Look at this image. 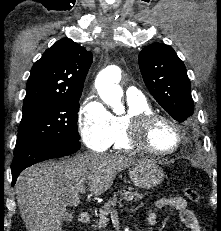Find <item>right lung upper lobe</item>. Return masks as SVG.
<instances>
[{
    "label": "right lung upper lobe",
    "mask_w": 221,
    "mask_h": 231,
    "mask_svg": "<svg viewBox=\"0 0 221 231\" xmlns=\"http://www.w3.org/2000/svg\"><path fill=\"white\" fill-rule=\"evenodd\" d=\"M92 60V53L78 43L57 41L33 65L24 101L80 97Z\"/></svg>",
    "instance_id": "1"
}]
</instances>
